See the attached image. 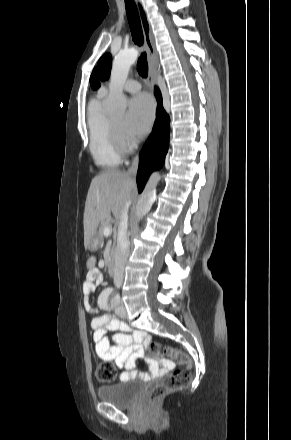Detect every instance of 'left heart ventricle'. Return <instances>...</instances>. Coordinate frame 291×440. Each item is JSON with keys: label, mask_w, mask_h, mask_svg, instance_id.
<instances>
[{"label": "left heart ventricle", "mask_w": 291, "mask_h": 440, "mask_svg": "<svg viewBox=\"0 0 291 440\" xmlns=\"http://www.w3.org/2000/svg\"><path fill=\"white\" fill-rule=\"evenodd\" d=\"M124 119V115H119L111 118L114 125L122 132L123 135H125Z\"/></svg>", "instance_id": "left-heart-ventricle-1"}]
</instances>
